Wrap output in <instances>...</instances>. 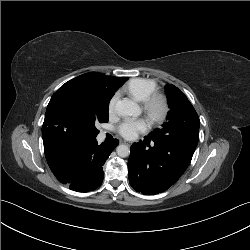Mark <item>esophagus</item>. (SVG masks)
<instances>
[{"label":"esophagus","mask_w":250,"mask_h":250,"mask_svg":"<svg viewBox=\"0 0 250 250\" xmlns=\"http://www.w3.org/2000/svg\"><path fill=\"white\" fill-rule=\"evenodd\" d=\"M123 143H124V144H127V145H130V143H129V142H126V141H123Z\"/></svg>","instance_id":"esophagus-1"}]
</instances>
